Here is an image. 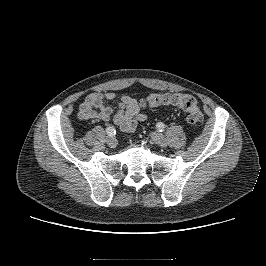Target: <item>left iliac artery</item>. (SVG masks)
<instances>
[{
    "mask_svg": "<svg viewBox=\"0 0 266 266\" xmlns=\"http://www.w3.org/2000/svg\"><path fill=\"white\" fill-rule=\"evenodd\" d=\"M156 126L160 132L165 129V125L162 122H158Z\"/></svg>",
    "mask_w": 266,
    "mask_h": 266,
    "instance_id": "obj_1",
    "label": "left iliac artery"
}]
</instances>
